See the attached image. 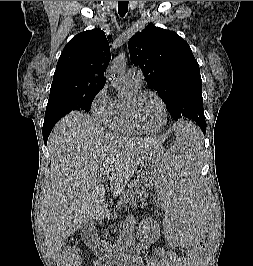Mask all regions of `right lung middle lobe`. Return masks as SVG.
<instances>
[{"label":"right lung middle lobe","instance_id":"1","mask_svg":"<svg viewBox=\"0 0 253 266\" xmlns=\"http://www.w3.org/2000/svg\"><path fill=\"white\" fill-rule=\"evenodd\" d=\"M98 92L63 93L49 96L44 124L55 123L70 112L78 110L89 112L92 101Z\"/></svg>","mask_w":253,"mask_h":266}]
</instances>
